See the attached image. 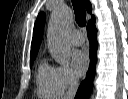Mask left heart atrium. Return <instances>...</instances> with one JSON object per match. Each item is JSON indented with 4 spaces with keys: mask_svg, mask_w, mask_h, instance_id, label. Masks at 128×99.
Returning a JSON list of instances; mask_svg holds the SVG:
<instances>
[{
    "mask_svg": "<svg viewBox=\"0 0 128 99\" xmlns=\"http://www.w3.org/2000/svg\"><path fill=\"white\" fill-rule=\"evenodd\" d=\"M72 65L77 75H83L89 65V58L85 51H75L72 56Z\"/></svg>",
    "mask_w": 128,
    "mask_h": 99,
    "instance_id": "obj_1",
    "label": "left heart atrium"
}]
</instances>
